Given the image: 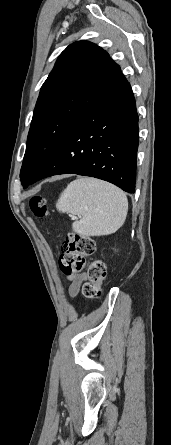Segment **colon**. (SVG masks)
I'll use <instances>...</instances> for the list:
<instances>
[{
    "label": "colon",
    "instance_id": "1",
    "mask_svg": "<svg viewBox=\"0 0 171 445\" xmlns=\"http://www.w3.org/2000/svg\"><path fill=\"white\" fill-rule=\"evenodd\" d=\"M30 208L35 216L42 218L48 212V204L44 197L34 196ZM95 242L88 237L71 233L62 245L59 266L63 273L70 274L86 269V281L82 292L86 299H96L102 295V286L107 278L105 264L100 259H90L95 253Z\"/></svg>",
    "mask_w": 171,
    "mask_h": 445
}]
</instances>
